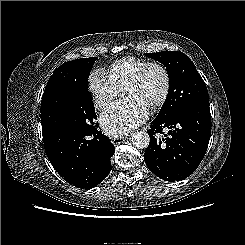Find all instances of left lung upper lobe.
<instances>
[{
	"instance_id": "5c2ea615",
	"label": "left lung upper lobe",
	"mask_w": 245,
	"mask_h": 245,
	"mask_svg": "<svg viewBox=\"0 0 245 245\" xmlns=\"http://www.w3.org/2000/svg\"><path fill=\"white\" fill-rule=\"evenodd\" d=\"M164 64L169 75L167 98L155 119L168 120L197 102H209L206 85L194 63L182 52L146 53Z\"/></svg>"
}]
</instances>
